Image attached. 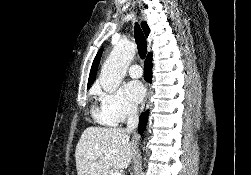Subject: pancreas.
<instances>
[{
    "label": "pancreas",
    "instance_id": "obj_1",
    "mask_svg": "<svg viewBox=\"0 0 251 175\" xmlns=\"http://www.w3.org/2000/svg\"><path fill=\"white\" fill-rule=\"evenodd\" d=\"M111 169H104L103 175H110Z\"/></svg>",
    "mask_w": 251,
    "mask_h": 175
}]
</instances>
